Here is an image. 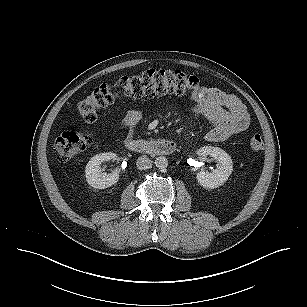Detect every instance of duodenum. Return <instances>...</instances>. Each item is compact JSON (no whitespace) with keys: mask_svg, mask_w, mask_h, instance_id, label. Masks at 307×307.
<instances>
[{"mask_svg":"<svg viewBox=\"0 0 307 307\" xmlns=\"http://www.w3.org/2000/svg\"><path fill=\"white\" fill-rule=\"evenodd\" d=\"M124 145L131 152L151 156H169L176 150V143L165 138L153 140L126 138Z\"/></svg>","mask_w":307,"mask_h":307,"instance_id":"duodenum-1","label":"duodenum"}]
</instances>
